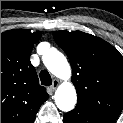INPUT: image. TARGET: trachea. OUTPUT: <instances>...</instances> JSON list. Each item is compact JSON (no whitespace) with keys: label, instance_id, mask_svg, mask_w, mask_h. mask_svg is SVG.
I'll return each mask as SVG.
<instances>
[{"label":"trachea","instance_id":"3493384b","mask_svg":"<svg viewBox=\"0 0 123 123\" xmlns=\"http://www.w3.org/2000/svg\"><path fill=\"white\" fill-rule=\"evenodd\" d=\"M40 80L42 85H51L52 84V79L47 70H42L40 72Z\"/></svg>","mask_w":123,"mask_h":123}]
</instances>
